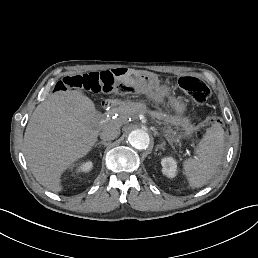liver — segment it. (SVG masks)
<instances>
[{"instance_id":"obj_1","label":"liver","mask_w":258,"mask_h":258,"mask_svg":"<svg viewBox=\"0 0 258 258\" xmlns=\"http://www.w3.org/2000/svg\"><path fill=\"white\" fill-rule=\"evenodd\" d=\"M98 117L94 103L80 90L51 94L36 107L23 151L33 176L47 190L61 191V174L91 150L99 132L89 124Z\"/></svg>"}]
</instances>
